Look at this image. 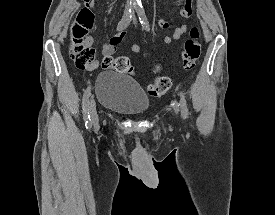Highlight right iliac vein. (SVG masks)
Wrapping results in <instances>:
<instances>
[{"mask_svg":"<svg viewBox=\"0 0 275 215\" xmlns=\"http://www.w3.org/2000/svg\"><path fill=\"white\" fill-rule=\"evenodd\" d=\"M89 112L91 115V120L93 124H96L98 122V114L96 111V103L94 101V99H91L89 102Z\"/></svg>","mask_w":275,"mask_h":215,"instance_id":"obj_1","label":"right iliac vein"}]
</instances>
